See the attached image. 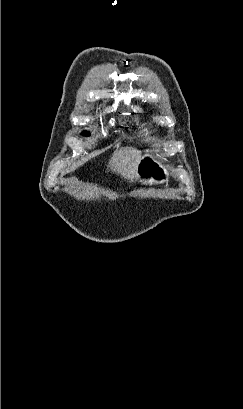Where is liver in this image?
<instances>
[{
    "label": "liver",
    "mask_w": 243,
    "mask_h": 409,
    "mask_svg": "<svg viewBox=\"0 0 243 409\" xmlns=\"http://www.w3.org/2000/svg\"><path fill=\"white\" fill-rule=\"evenodd\" d=\"M141 151L133 148H123L115 152L109 161L108 167L124 178L131 180L137 176V164Z\"/></svg>",
    "instance_id": "1"
}]
</instances>
